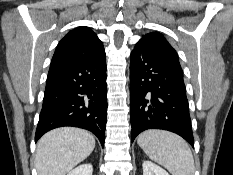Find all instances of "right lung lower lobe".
<instances>
[{
  "instance_id": "right-lung-lower-lobe-1",
  "label": "right lung lower lobe",
  "mask_w": 233,
  "mask_h": 175,
  "mask_svg": "<svg viewBox=\"0 0 233 175\" xmlns=\"http://www.w3.org/2000/svg\"><path fill=\"white\" fill-rule=\"evenodd\" d=\"M106 95L104 50L92 58L49 71L35 141L51 129L74 126L94 133L103 147Z\"/></svg>"
}]
</instances>
